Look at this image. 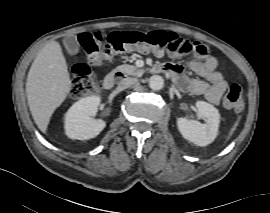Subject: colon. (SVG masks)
Segmentation results:
<instances>
[{
	"mask_svg": "<svg viewBox=\"0 0 270 213\" xmlns=\"http://www.w3.org/2000/svg\"><path fill=\"white\" fill-rule=\"evenodd\" d=\"M78 41L86 50L88 62L96 65L110 60L124 51H137L161 55L167 49L172 54L193 52L202 57L207 47L200 42H193L178 35L160 30L149 32H129L103 34L100 32H84ZM101 84L94 72L87 66L78 65L73 69L71 95L80 99L99 90ZM244 90L238 83L229 86L223 97L225 109H241L243 107Z\"/></svg>",
	"mask_w": 270,
	"mask_h": 213,
	"instance_id": "colon-1",
	"label": "colon"
}]
</instances>
